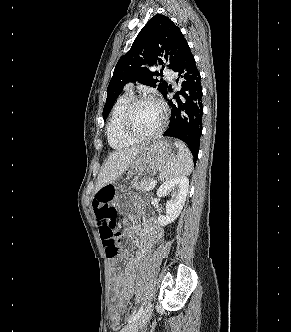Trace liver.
Segmentation results:
<instances>
[{
    "mask_svg": "<svg viewBox=\"0 0 291 332\" xmlns=\"http://www.w3.org/2000/svg\"><path fill=\"white\" fill-rule=\"evenodd\" d=\"M144 146L120 149L111 153L98 175L96 192L106 185L113 184L136 159L138 153L144 149Z\"/></svg>",
    "mask_w": 291,
    "mask_h": 332,
    "instance_id": "1",
    "label": "liver"
}]
</instances>
